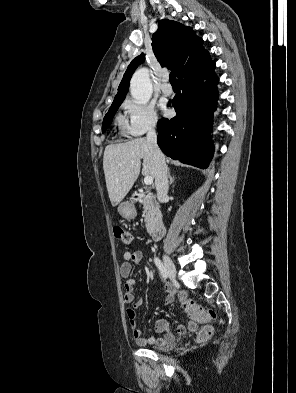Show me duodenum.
<instances>
[{
    "label": "duodenum",
    "mask_w": 296,
    "mask_h": 393,
    "mask_svg": "<svg viewBox=\"0 0 296 393\" xmlns=\"http://www.w3.org/2000/svg\"><path fill=\"white\" fill-rule=\"evenodd\" d=\"M164 235V227L162 222L158 221L151 230V236L154 240H160Z\"/></svg>",
    "instance_id": "duodenum-1"
}]
</instances>
